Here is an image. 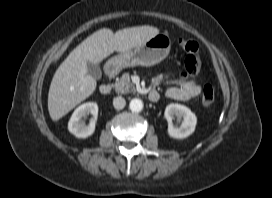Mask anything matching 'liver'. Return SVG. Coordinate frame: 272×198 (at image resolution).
Masks as SVG:
<instances>
[{
	"label": "liver",
	"mask_w": 272,
	"mask_h": 198,
	"mask_svg": "<svg viewBox=\"0 0 272 198\" xmlns=\"http://www.w3.org/2000/svg\"><path fill=\"white\" fill-rule=\"evenodd\" d=\"M159 34L153 26L118 30L102 28L88 36L56 70L48 93V111L57 121L88 98L96 89V80L88 74L87 63L98 64L113 52L136 48Z\"/></svg>",
	"instance_id": "1"
}]
</instances>
